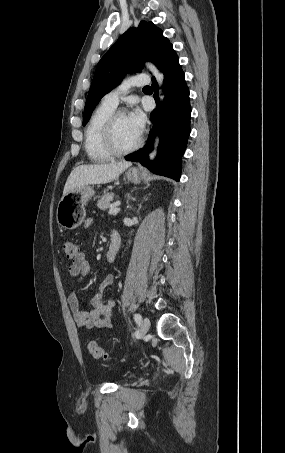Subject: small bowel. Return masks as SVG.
<instances>
[{"instance_id":"obj_1","label":"small bowel","mask_w":285,"mask_h":453,"mask_svg":"<svg viewBox=\"0 0 285 453\" xmlns=\"http://www.w3.org/2000/svg\"><path fill=\"white\" fill-rule=\"evenodd\" d=\"M91 221L86 223L87 226ZM112 237H118L113 233ZM90 265L83 252L69 266V274L76 283H80L88 275ZM114 281L112 274H108L103 279L99 291L91 300V309L88 311L79 308V302L75 291L71 290L67 296V301L76 325L86 330H98L110 328L113 324V311L115 302L113 299H103V289L111 285Z\"/></svg>"}]
</instances>
